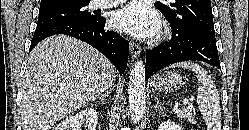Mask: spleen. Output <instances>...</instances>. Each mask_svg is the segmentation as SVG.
Masks as SVG:
<instances>
[{
  "label": "spleen",
  "mask_w": 249,
  "mask_h": 130,
  "mask_svg": "<svg viewBox=\"0 0 249 130\" xmlns=\"http://www.w3.org/2000/svg\"><path fill=\"white\" fill-rule=\"evenodd\" d=\"M184 68L197 74V104L207 126V130H221V110L218 90L208 75V72L200 65L185 61L173 64L170 68Z\"/></svg>",
  "instance_id": "3e777b00"
}]
</instances>
